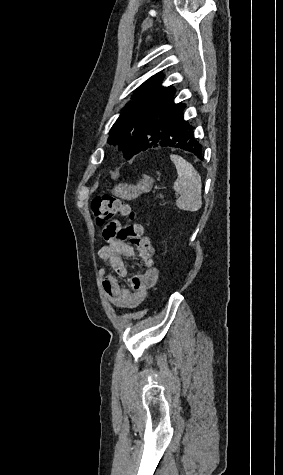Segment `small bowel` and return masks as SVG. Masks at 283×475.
<instances>
[{
	"label": "small bowel",
	"instance_id": "c3829d8e",
	"mask_svg": "<svg viewBox=\"0 0 283 475\" xmlns=\"http://www.w3.org/2000/svg\"><path fill=\"white\" fill-rule=\"evenodd\" d=\"M104 224L102 234L106 243L100 248L99 257L114 273H107L104 267L99 269L103 290L113 306L131 310L145 299L147 291L157 283L159 269L155 266L150 274L139 273L129 277L123 258L137 259L135 250L130 244L117 239L120 227L116 219H106ZM119 277L127 280L128 287L120 283Z\"/></svg>",
	"mask_w": 283,
	"mask_h": 475
}]
</instances>
